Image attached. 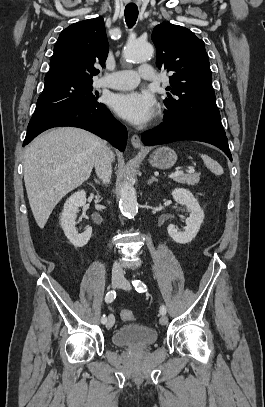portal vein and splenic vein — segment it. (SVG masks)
<instances>
[{
    "instance_id": "18ae733b",
    "label": "portal vein and splenic vein",
    "mask_w": 265,
    "mask_h": 407,
    "mask_svg": "<svg viewBox=\"0 0 265 407\" xmlns=\"http://www.w3.org/2000/svg\"><path fill=\"white\" fill-rule=\"evenodd\" d=\"M189 171H190V172H194V169L191 168ZM182 174H183V171L177 170V171H175L174 173L170 174L169 177H170V178H173V177H176V176H179V175H182Z\"/></svg>"
}]
</instances>
